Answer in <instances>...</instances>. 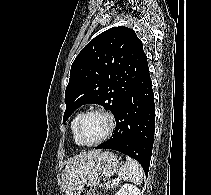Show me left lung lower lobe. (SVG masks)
<instances>
[{
    "label": "left lung lower lobe",
    "instance_id": "left-lung-lower-lobe-1",
    "mask_svg": "<svg viewBox=\"0 0 211 195\" xmlns=\"http://www.w3.org/2000/svg\"><path fill=\"white\" fill-rule=\"evenodd\" d=\"M113 136L97 147L136 159L148 174L155 130V104L149 68L114 115Z\"/></svg>",
    "mask_w": 211,
    "mask_h": 195
}]
</instances>
